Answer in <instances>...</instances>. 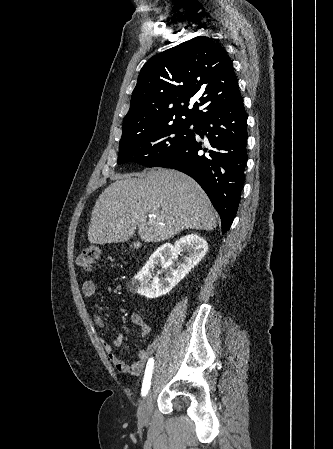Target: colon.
Masks as SVG:
<instances>
[{
	"label": "colon",
	"instance_id": "obj_1",
	"mask_svg": "<svg viewBox=\"0 0 333 449\" xmlns=\"http://www.w3.org/2000/svg\"><path fill=\"white\" fill-rule=\"evenodd\" d=\"M101 251L97 246H87L78 257V264L84 269H90L100 258Z\"/></svg>",
	"mask_w": 333,
	"mask_h": 449
}]
</instances>
